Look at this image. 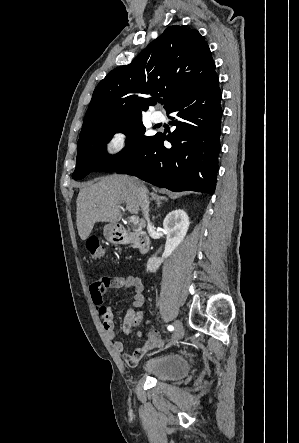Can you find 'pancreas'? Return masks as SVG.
Here are the masks:
<instances>
[{"mask_svg":"<svg viewBox=\"0 0 299 443\" xmlns=\"http://www.w3.org/2000/svg\"><path fill=\"white\" fill-rule=\"evenodd\" d=\"M130 237H131L130 241L133 244V247H137L138 243H139V240L137 238L136 232H133Z\"/></svg>","mask_w":299,"mask_h":443,"instance_id":"cf45deb5","label":"pancreas"}]
</instances>
